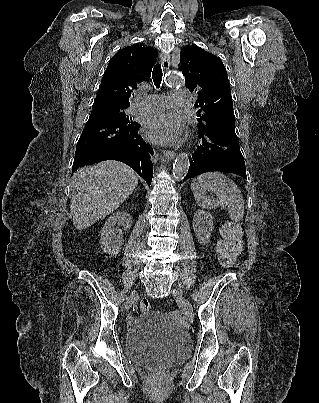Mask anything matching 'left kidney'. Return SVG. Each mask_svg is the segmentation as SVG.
I'll return each instance as SVG.
<instances>
[{
    "label": "left kidney",
    "instance_id": "1",
    "mask_svg": "<svg viewBox=\"0 0 319 403\" xmlns=\"http://www.w3.org/2000/svg\"><path fill=\"white\" fill-rule=\"evenodd\" d=\"M193 228L200 244L205 245L209 243L214 230L212 215L204 210H197L194 215Z\"/></svg>",
    "mask_w": 319,
    "mask_h": 403
}]
</instances>
